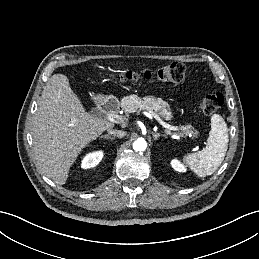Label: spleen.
Returning a JSON list of instances; mask_svg holds the SVG:
<instances>
[{"label": "spleen", "instance_id": "3e777b00", "mask_svg": "<svg viewBox=\"0 0 259 259\" xmlns=\"http://www.w3.org/2000/svg\"><path fill=\"white\" fill-rule=\"evenodd\" d=\"M207 141L203 150L184 156V161L201 178L212 175L217 170L228 149V128L222 116H211V131Z\"/></svg>", "mask_w": 259, "mask_h": 259}]
</instances>
